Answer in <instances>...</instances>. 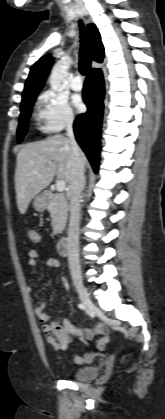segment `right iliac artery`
Listing matches in <instances>:
<instances>
[{
	"mask_svg": "<svg viewBox=\"0 0 165 419\" xmlns=\"http://www.w3.org/2000/svg\"><path fill=\"white\" fill-rule=\"evenodd\" d=\"M78 307H79L80 309H84L83 304H78Z\"/></svg>",
	"mask_w": 165,
	"mask_h": 419,
	"instance_id": "right-iliac-artery-1",
	"label": "right iliac artery"
}]
</instances>
